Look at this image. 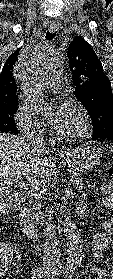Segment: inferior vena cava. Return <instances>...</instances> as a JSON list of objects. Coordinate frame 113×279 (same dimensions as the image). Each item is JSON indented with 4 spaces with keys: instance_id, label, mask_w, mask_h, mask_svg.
<instances>
[{
    "instance_id": "1",
    "label": "inferior vena cava",
    "mask_w": 113,
    "mask_h": 279,
    "mask_svg": "<svg viewBox=\"0 0 113 279\" xmlns=\"http://www.w3.org/2000/svg\"><path fill=\"white\" fill-rule=\"evenodd\" d=\"M32 151L42 155L46 151V144L43 138L36 134L30 139L28 145ZM46 217L44 221V251H43V269L47 274L58 275L61 271V252L59 242L56 237L55 225L52 222L51 211L46 207Z\"/></svg>"
}]
</instances>
